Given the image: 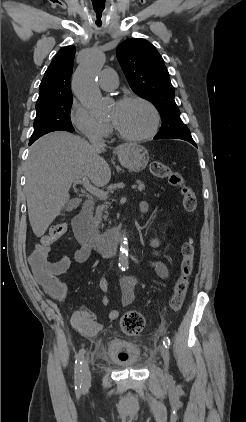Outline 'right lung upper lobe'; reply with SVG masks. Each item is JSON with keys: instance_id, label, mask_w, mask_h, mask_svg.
Returning a JSON list of instances; mask_svg holds the SVG:
<instances>
[{"instance_id": "cb5924a9", "label": "right lung upper lobe", "mask_w": 246, "mask_h": 422, "mask_svg": "<svg viewBox=\"0 0 246 422\" xmlns=\"http://www.w3.org/2000/svg\"><path fill=\"white\" fill-rule=\"evenodd\" d=\"M74 56V46L63 47L55 55L41 81L36 108L62 98L73 97L70 89V77L73 71Z\"/></svg>"}]
</instances>
